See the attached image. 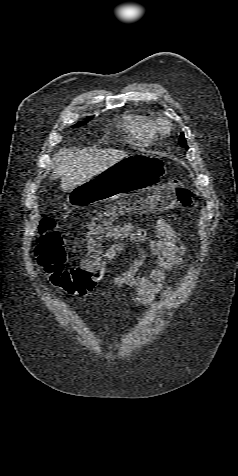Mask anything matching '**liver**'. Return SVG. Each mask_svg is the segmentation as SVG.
Listing matches in <instances>:
<instances>
[{"mask_svg":"<svg viewBox=\"0 0 238 476\" xmlns=\"http://www.w3.org/2000/svg\"><path fill=\"white\" fill-rule=\"evenodd\" d=\"M126 157H128L126 152L116 149L83 151L62 148L53 156L50 180L61 177V188L67 191Z\"/></svg>","mask_w":238,"mask_h":476,"instance_id":"6515ba94","label":"liver"}]
</instances>
